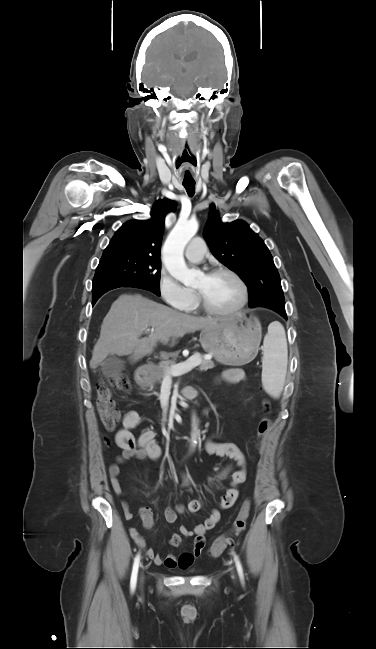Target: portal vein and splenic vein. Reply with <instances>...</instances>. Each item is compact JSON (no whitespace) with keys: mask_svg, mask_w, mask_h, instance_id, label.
<instances>
[{"mask_svg":"<svg viewBox=\"0 0 376 649\" xmlns=\"http://www.w3.org/2000/svg\"><path fill=\"white\" fill-rule=\"evenodd\" d=\"M146 331L148 332V331H150V329H147ZM205 359L206 360L211 359V355L206 356ZM201 360L202 359L199 356L193 355L187 361H185V362H183L181 364H177V365L172 366L168 370V372H167V374L165 376V379L166 380H171V376H180L182 374L190 372L192 369H194L195 367L200 365Z\"/></svg>","mask_w":376,"mask_h":649,"instance_id":"portal-vein-and-splenic-vein-1","label":"portal vein and splenic vein"}]
</instances>
